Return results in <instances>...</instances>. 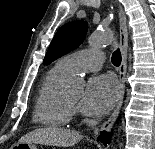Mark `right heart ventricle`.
Returning <instances> with one entry per match:
<instances>
[{"mask_svg":"<svg viewBox=\"0 0 155 149\" xmlns=\"http://www.w3.org/2000/svg\"><path fill=\"white\" fill-rule=\"evenodd\" d=\"M70 75L56 64L42 79L33 111V121L47 127L69 123L72 111L66 105L62 84Z\"/></svg>","mask_w":155,"mask_h":149,"instance_id":"obj_1","label":"right heart ventricle"}]
</instances>
